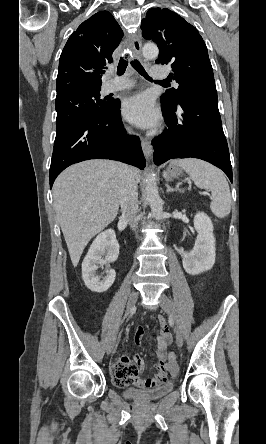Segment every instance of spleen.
<instances>
[{
    "instance_id": "3e777b00",
    "label": "spleen",
    "mask_w": 266,
    "mask_h": 444,
    "mask_svg": "<svg viewBox=\"0 0 266 444\" xmlns=\"http://www.w3.org/2000/svg\"><path fill=\"white\" fill-rule=\"evenodd\" d=\"M170 165L183 168L198 188L211 191L212 202L210 208L214 215L224 218L230 213V188L221 170L196 158L172 160Z\"/></svg>"
}]
</instances>
